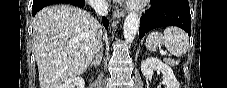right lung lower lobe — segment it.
Here are the masks:
<instances>
[{
    "instance_id": "98d812e1",
    "label": "right lung lower lobe",
    "mask_w": 227,
    "mask_h": 88,
    "mask_svg": "<svg viewBox=\"0 0 227 88\" xmlns=\"http://www.w3.org/2000/svg\"><path fill=\"white\" fill-rule=\"evenodd\" d=\"M55 3H69L75 6H84V0H34L32 7V16H35V14L43 7ZM102 22L103 25L107 28L109 21L106 17L102 18Z\"/></svg>"
}]
</instances>
